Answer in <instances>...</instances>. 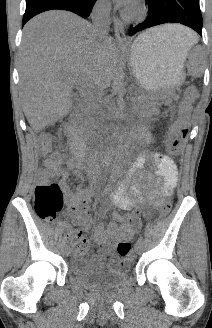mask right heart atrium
Listing matches in <instances>:
<instances>
[{
  "mask_svg": "<svg viewBox=\"0 0 212 328\" xmlns=\"http://www.w3.org/2000/svg\"><path fill=\"white\" fill-rule=\"evenodd\" d=\"M98 7L101 9V10H105L106 9V4L103 0H101L98 4Z\"/></svg>",
  "mask_w": 212,
  "mask_h": 328,
  "instance_id": "d8ad5b80",
  "label": "right heart atrium"
}]
</instances>
